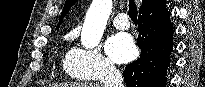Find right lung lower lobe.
I'll return each instance as SVG.
<instances>
[{
    "label": "right lung lower lobe",
    "instance_id": "98d812e1",
    "mask_svg": "<svg viewBox=\"0 0 205 87\" xmlns=\"http://www.w3.org/2000/svg\"><path fill=\"white\" fill-rule=\"evenodd\" d=\"M164 3L156 0L139 11L137 45L141 54L125 67L124 82L128 87H165L174 30Z\"/></svg>",
    "mask_w": 205,
    "mask_h": 87
}]
</instances>
